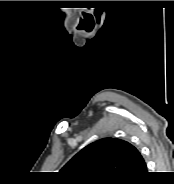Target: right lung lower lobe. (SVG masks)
Returning <instances> with one entry per match:
<instances>
[{
  "label": "right lung lower lobe",
  "instance_id": "obj_1",
  "mask_svg": "<svg viewBox=\"0 0 174 184\" xmlns=\"http://www.w3.org/2000/svg\"><path fill=\"white\" fill-rule=\"evenodd\" d=\"M147 174V169L142 172L139 176L129 180V181H125V182H122L121 184H140L142 183V180L144 178V176H146Z\"/></svg>",
  "mask_w": 174,
  "mask_h": 184
}]
</instances>
